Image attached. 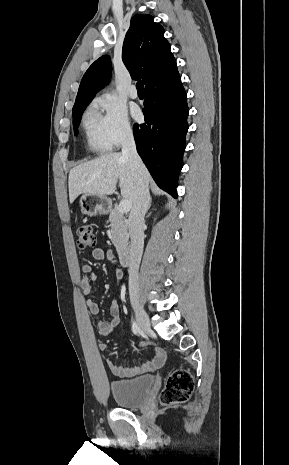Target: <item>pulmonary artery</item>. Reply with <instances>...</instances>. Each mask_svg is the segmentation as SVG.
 <instances>
[{"mask_svg":"<svg viewBox=\"0 0 289 465\" xmlns=\"http://www.w3.org/2000/svg\"><path fill=\"white\" fill-rule=\"evenodd\" d=\"M129 95L131 98L136 99L138 97L137 89L134 85H132L129 89Z\"/></svg>","mask_w":289,"mask_h":465,"instance_id":"obj_1","label":"pulmonary artery"}]
</instances>
